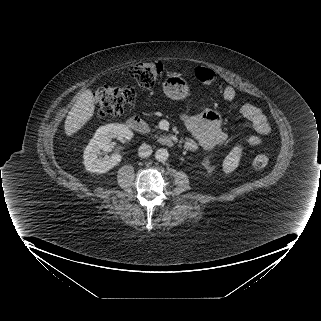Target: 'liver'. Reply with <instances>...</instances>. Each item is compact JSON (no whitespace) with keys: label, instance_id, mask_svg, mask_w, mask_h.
<instances>
[{"label":"liver","instance_id":"liver-1","mask_svg":"<svg viewBox=\"0 0 321 321\" xmlns=\"http://www.w3.org/2000/svg\"><path fill=\"white\" fill-rule=\"evenodd\" d=\"M95 101L91 90H85L72 106L65 120L66 136L78 132L94 115Z\"/></svg>","mask_w":321,"mask_h":321}]
</instances>
